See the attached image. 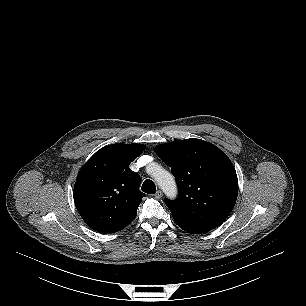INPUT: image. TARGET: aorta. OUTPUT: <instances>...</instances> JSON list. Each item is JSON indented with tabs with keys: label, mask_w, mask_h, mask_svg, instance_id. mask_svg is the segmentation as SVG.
Returning a JSON list of instances; mask_svg holds the SVG:
<instances>
[{
	"label": "aorta",
	"mask_w": 306,
	"mask_h": 306,
	"mask_svg": "<svg viewBox=\"0 0 306 306\" xmlns=\"http://www.w3.org/2000/svg\"><path fill=\"white\" fill-rule=\"evenodd\" d=\"M153 176L158 184V186L163 190V192L170 198H173L177 194V187L174 177L168 171L162 169L160 166H155V172Z\"/></svg>",
	"instance_id": "762f6f07"
}]
</instances>
